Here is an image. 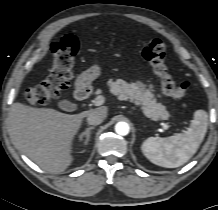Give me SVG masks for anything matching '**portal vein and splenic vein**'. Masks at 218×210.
Returning a JSON list of instances; mask_svg holds the SVG:
<instances>
[{"mask_svg":"<svg viewBox=\"0 0 218 210\" xmlns=\"http://www.w3.org/2000/svg\"><path fill=\"white\" fill-rule=\"evenodd\" d=\"M105 102V98L100 95V96H97L94 100H93V103L95 106H100L102 105L103 103ZM162 127L165 129V130H168L170 128V126L167 124V123H162Z\"/></svg>","mask_w":218,"mask_h":210,"instance_id":"18ae733b","label":"portal vein and splenic vein"}]
</instances>
